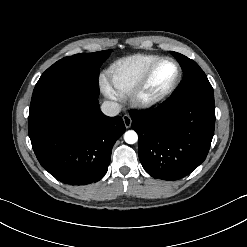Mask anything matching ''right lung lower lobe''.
<instances>
[{"mask_svg": "<svg viewBox=\"0 0 247 247\" xmlns=\"http://www.w3.org/2000/svg\"><path fill=\"white\" fill-rule=\"evenodd\" d=\"M28 132L42 167L71 185L99 181L107 172L112 147L125 132L120 116H105L97 95L68 91L56 95L28 117Z\"/></svg>", "mask_w": 247, "mask_h": 247, "instance_id": "right-lung-lower-lobe-1", "label": "right lung lower lobe"}]
</instances>
